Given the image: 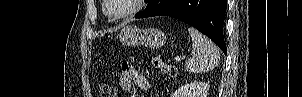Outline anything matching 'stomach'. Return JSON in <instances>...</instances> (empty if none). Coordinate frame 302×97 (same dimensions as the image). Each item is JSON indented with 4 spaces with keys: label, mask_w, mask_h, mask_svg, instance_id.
I'll return each instance as SVG.
<instances>
[{
    "label": "stomach",
    "mask_w": 302,
    "mask_h": 97,
    "mask_svg": "<svg viewBox=\"0 0 302 97\" xmlns=\"http://www.w3.org/2000/svg\"><path fill=\"white\" fill-rule=\"evenodd\" d=\"M119 40L127 46L143 45L151 49H159L166 44L167 37L159 29H141L134 25H128L121 30Z\"/></svg>",
    "instance_id": "obj_1"
}]
</instances>
